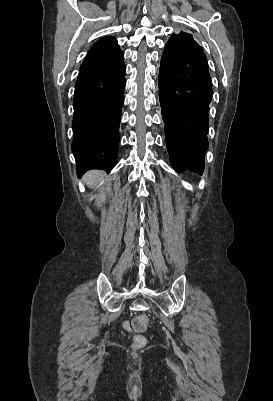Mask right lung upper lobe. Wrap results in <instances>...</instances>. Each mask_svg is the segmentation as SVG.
I'll list each match as a JSON object with an SVG mask.
<instances>
[{"label": "right lung upper lobe", "instance_id": "obj_1", "mask_svg": "<svg viewBox=\"0 0 273 401\" xmlns=\"http://www.w3.org/2000/svg\"><path fill=\"white\" fill-rule=\"evenodd\" d=\"M123 58L117 40L104 37L97 41L84 59L78 77H83L107 68Z\"/></svg>", "mask_w": 273, "mask_h": 401}]
</instances>
